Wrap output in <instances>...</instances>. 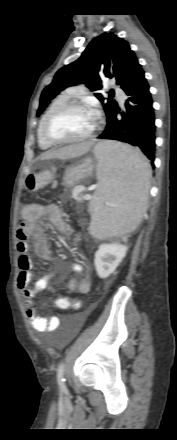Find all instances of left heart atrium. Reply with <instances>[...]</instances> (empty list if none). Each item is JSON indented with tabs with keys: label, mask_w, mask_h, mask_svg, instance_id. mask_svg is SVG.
Instances as JSON below:
<instances>
[{
	"label": "left heart atrium",
	"mask_w": 177,
	"mask_h": 440,
	"mask_svg": "<svg viewBox=\"0 0 177 440\" xmlns=\"http://www.w3.org/2000/svg\"><path fill=\"white\" fill-rule=\"evenodd\" d=\"M93 117V120L95 121V117L94 116H92Z\"/></svg>",
	"instance_id": "left-heart-atrium-1"
}]
</instances>
